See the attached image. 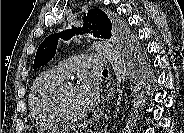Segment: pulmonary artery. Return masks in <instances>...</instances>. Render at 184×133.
<instances>
[{
  "label": "pulmonary artery",
  "mask_w": 184,
  "mask_h": 133,
  "mask_svg": "<svg viewBox=\"0 0 184 133\" xmlns=\"http://www.w3.org/2000/svg\"><path fill=\"white\" fill-rule=\"evenodd\" d=\"M81 67L105 70L109 68V61L105 56L98 54L78 55L60 61L55 69L62 77L66 78Z\"/></svg>",
  "instance_id": "pulmonary-artery-1"
}]
</instances>
